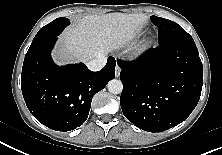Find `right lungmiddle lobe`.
Here are the masks:
<instances>
[{
  "label": "right lung middle lobe",
  "instance_id": "dd1d6c3e",
  "mask_svg": "<svg viewBox=\"0 0 222 155\" xmlns=\"http://www.w3.org/2000/svg\"><path fill=\"white\" fill-rule=\"evenodd\" d=\"M69 23L68 18L60 17L42 27L34 37L29 49L38 46L50 37L58 36Z\"/></svg>",
  "mask_w": 222,
  "mask_h": 155
}]
</instances>
